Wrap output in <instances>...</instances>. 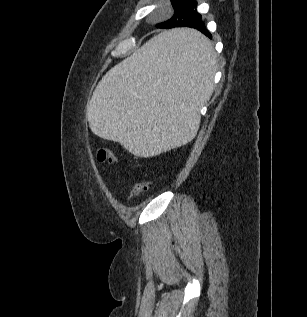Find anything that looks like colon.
<instances>
[{"instance_id": "1", "label": "colon", "mask_w": 307, "mask_h": 317, "mask_svg": "<svg viewBox=\"0 0 307 317\" xmlns=\"http://www.w3.org/2000/svg\"><path fill=\"white\" fill-rule=\"evenodd\" d=\"M96 158L101 163L114 164L117 159L113 151L109 148L101 147L96 152ZM151 186V181H143L136 183L128 193V199L136 197L141 193L146 192Z\"/></svg>"}]
</instances>
